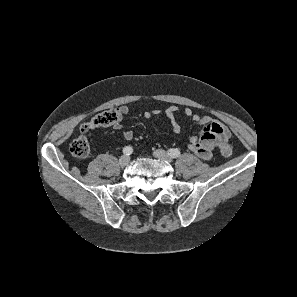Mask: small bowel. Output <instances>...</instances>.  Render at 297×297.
Instances as JSON below:
<instances>
[{"label": "small bowel", "mask_w": 297, "mask_h": 297, "mask_svg": "<svg viewBox=\"0 0 297 297\" xmlns=\"http://www.w3.org/2000/svg\"><path fill=\"white\" fill-rule=\"evenodd\" d=\"M178 108L174 105L169 106L165 110V115L167 116L172 131L174 133H179L181 127L176 119V113ZM120 118L126 115L129 112V107L123 105L118 108ZM159 110L146 111L144 117L146 119L151 118L154 115H158ZM184 114L187 117H190L192 121L199 123L203 126L202 132L199 137H191L188 143V148L194 152L198 157L209 160L212 157L214 148L222 141L226 140L229 137L228 129L223 126L221 123L214 121L210 116H201L195 114L191 108H186ZM114 129H122V124L120 121L113 124ZM125 140L129 141L133 139L134 133L131 130H126L123 133Z\"/></svg>", "instance_id": "1"}]
</instances>
